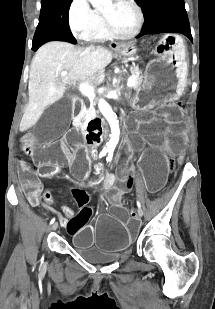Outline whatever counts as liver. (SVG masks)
Instances as JSON below:
<instances>
[{"label": "liver", "instance_id": "6515ba94", "mask_svg": "<svg viewBox=\"0 0 215 309\" xmlns=\"http://www.w3.org/2000/svg\"><path fill=\"white\" fill-rule=\"evenodd\" d=\"M113 54L104 46L76 48L70 42H46L38 48L31 62L28 90L29 104L20 122V130H27L35 116H40L48 104L63 96L67 82L96 80L111 62ZM68 70L66 80H59L60 72Z\"/></svg>", "mask_w": 215, "mask_h": 309}]
</instances>
